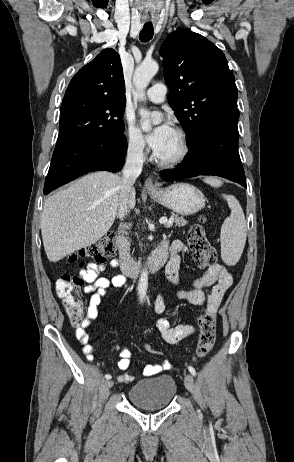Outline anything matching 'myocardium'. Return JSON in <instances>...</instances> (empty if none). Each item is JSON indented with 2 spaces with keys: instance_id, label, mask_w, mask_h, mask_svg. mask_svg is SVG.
<instances>
[{
  "instance_id": "obj_1",
  "label": "myocardium",
  "mask_w": 294,
  "mask_h": 462,
  "mask_svg": "<svg viewBox=\"0 0 294 462\" xmlns=\"http://www.w3.org/2000/svg\"><path fill=\"white\" fill-rule=\"evenodd\" d=\"M174 131L179 138L181 150L175 157L169 159H162L158 155H155L157 163L163 167L178 166L183 163L190 154L191 148L187 133L181 128H176Z\"/></svg>"
}]
</instances>
